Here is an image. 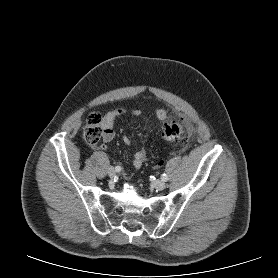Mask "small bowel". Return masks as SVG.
Wrapping results in <instances>:
<instances>
[{"label": "small bowel", "instance_id": "c3829d8e", "mask_svg": "<svg viewBox=\"0 0 278 278\" xmlns=\"http://www.w3.org/2000/svg\"><path fill=\"white\" fill-rule=\"evenodd\" d=\"M126 114L138 116L141 114V111L139 109H134V110L128 111V110L119 108V109L111 110L104 115L103 120H102V128H103L102 138H103L104 143H108L113 140V138L115 136V132L113 129L114 122L117 118H119L123 115H126ZM155 116L158 120L162 121L167 118L168 114L164 109H157L155 111ZM123 142L125 145H130L131 139L128 136H124ZM100 148L102 150H105L106 145L103 144L100 146ZM146 156H147L146 150L142 147L138 148L133 156V166L135 168H140L142 166L143 162L146 160ZM160 165H162L161 162L156 163V166H160Z\"/></svg>", "mask_w": 278, "mask_h": 278}]
</instances>
